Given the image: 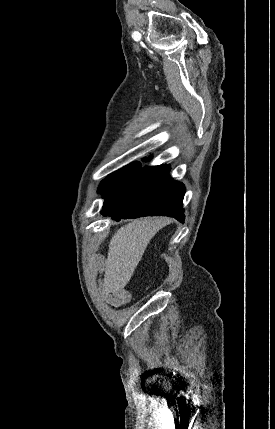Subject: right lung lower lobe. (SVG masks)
<instances>
[{"mask_svg": "<svg viewBox=\"0 0 275 429\" xmlns=\"http://www.w3.org/2000/svg\"><path fill=\"white\" fill-rule=\"evenodd\" d=\"M167 166L145 167L136 177L104 201L103 216L114 220L143 216H169L184 222L185 187L169 177Z\"/></svg>", "mask_w": 275, "mask_h": 429, "instance_id": "obj_1", "label": "right lung lower lobe"}]
</instances>
